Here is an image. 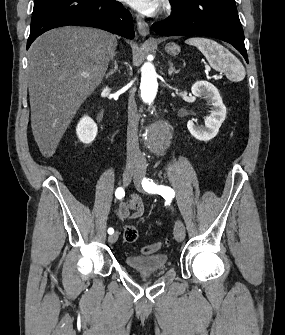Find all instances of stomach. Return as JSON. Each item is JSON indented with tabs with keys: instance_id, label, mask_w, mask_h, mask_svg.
Segmentation results:
<instances>
[{
	"instance_id": "stomach-1",
	"label": "stomach",
	"mask_w": 285,
	"mask_h": 335,
	"mask_svg": "<svg viewBox=\"0 0 285 335\" xmlns=\"http://www.w3.org/2000/svg\"><path fill=\"white\" fill-rule=\"evenodd\" d=\"M165 50L168 54H171V56H177L180 52V46H177V44H167Z\"/></svg>"
}]
</instances>
